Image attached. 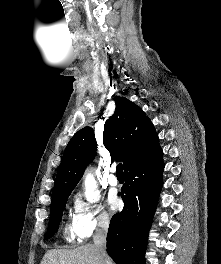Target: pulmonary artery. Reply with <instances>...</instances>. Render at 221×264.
<instances>
[{"instance_id":"obj_1","label":"pulmonary artery","mask_w":221,"mask_h":264,"mask_svg":"<svg viewBox=\"0 0 221 264\" xmlns=\"http://www.w3.org/2000/svg\"><path fill=\"white\" fill-rule=\"evenodd\" d=\"M108 182H109V184H110L111 186H116V185H118V178H117V176H116V174H115V167H112V168H111V173H110V175H109V177H108Z\"/></svg>"}]
</instances>
